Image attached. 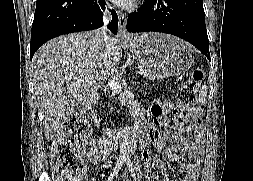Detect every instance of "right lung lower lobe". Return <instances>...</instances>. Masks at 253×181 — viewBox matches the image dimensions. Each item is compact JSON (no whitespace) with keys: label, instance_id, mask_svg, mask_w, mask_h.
<instances>
[{"label":"right lung lower lobe","instance_id":"obj_1","mask_svg":"<svg viewBox=\"0 0 253 181\" xmlns=\"http://www.w3.org/2000/svg\"><path fill=\"white\" fill-rule=\"evenodd\" d=\"M103 3L97 0H37L31 31L30 59L46 41L72 32L93 30L103 25ZM108 28L117 34L114 10Z\"/></svg>","mask_w":253,"mask_h":181}]
</instances>
